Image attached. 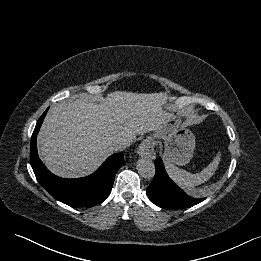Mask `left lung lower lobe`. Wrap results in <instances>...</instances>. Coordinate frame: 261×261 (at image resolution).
<instances>
[{"instance_id": "0a47b994", "label": "left lung lower lobe", "mask_w": 261, "mask_h": 261, "mask_svg": "<svg viewBox=\"0 0 261 261\" xmlns=\"http://www.w3.org/2000/svg\"><path fill=\"white\" fill-rule=\"evenodd\" d=\"M156 174L147 189L149 199L164 209H183L194 206L203 198H196L185 193L167 175L162 159L155 160Z\"/></svg>"}]
</instances>
